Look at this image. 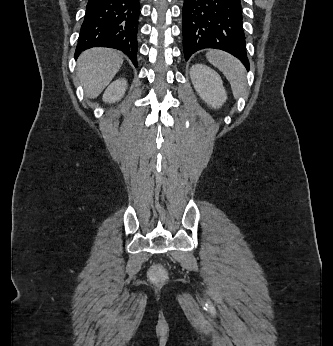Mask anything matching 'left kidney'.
Returning <instances> with one entry per match:
<instances>
[{"mask_svg": "<svg viewBox=\"0 0 333 346\" xmlns=\"http://www.w3.org/2000/svg\"><path fill=\"white\" fill-rule=\"evenodd\" d=\"M190 76L195 90L212 108H220L227 99V93L219 74L204 64L192 65Z\"/></svg>", "mask_w": 333, "mask_h": 346, "instance_id": "left-kidney-1", "label": "left kidney"}]
</instances>
